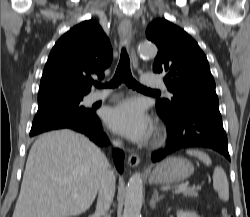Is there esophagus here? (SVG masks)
<instances>
[{"label": "esophagus", "mask_w": 250, "mask_h": 217, "mask_svg": "<svg viewBox=\"0 0 250 217\" xmlns=\"http://www.w3.org/2000/svg\"><path fill=\"white\" fill-rule=\"evenodd\" d=\"M119 31V36L120 39L124 42V43H131L132 41V26H131V22L128 19H124L118 28ZM130 55H131V59H132V63H133V67L135 69H137L138 67V58L136 56V53L133 49V47H130ZM140 163V158L136 153H132L129 155L128 157V165L132 168L137 167Z\"/></svg>", "instance_id": "1"}]
</instances>
